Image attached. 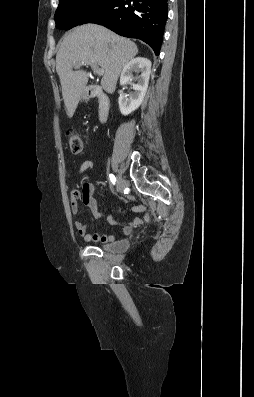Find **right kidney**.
<instances>
[{"label": "right kidney", "instance_id": "right-kidney-1", "mask_svg": "<svg viewBox=\"0 0 254 397\" xmlns=\"http://www.w3.org/2000/svg\"><path fill=\"white\" fill-rule=\"evenodd\" d=\"M133 72L140 73L137 77L138 83L133 85V92L129 95H121L118 99L119 109L123 115L130 114L142 104L148 88L151 61L144 57H137L128 62L121 72V85L133 79Z\"/></svg>", "mask_w": 254, "mask_h": 397}]
</instances>
